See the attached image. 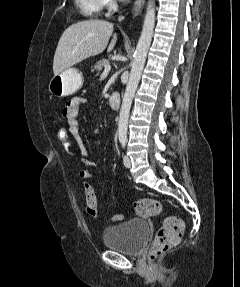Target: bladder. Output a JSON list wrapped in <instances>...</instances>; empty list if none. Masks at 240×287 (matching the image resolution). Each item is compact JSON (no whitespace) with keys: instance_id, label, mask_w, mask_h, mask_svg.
I'll use <instances>...</instances> for the list:
<instances>
[{"instance_id":"1","label":"bladder","mask_w":240,"mask_h":287,"mask_svg":"<svg viewBox=\"0 0 240 287\" xmlns=\"http://www.w3.org/2000/svg\"><path fill=\"white\" fill-rule=\"evenodd\" d=\"M149 235L148 222L133 218L122 224L107 227L103 234V243L107 248L137 256L144 250Z\"/></svg>"}]
</instances>
